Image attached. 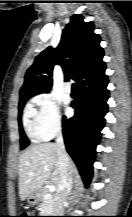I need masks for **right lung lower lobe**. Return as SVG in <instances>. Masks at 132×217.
Here are the masks:
<instances>
[{"mask_svg": "<svg viewBox=\"0 0 132 217\" xmlns=\"http://www.w3.org/2000/svg\"><path fill=\"white\" fill-rule=\"evenodd\" d=\"M107 76L85 85L78 86L79 93L71 107L73 118L63 117L62 127L66 150L75 161L86 186L89 185L96 146L99 144L104 127V116L108 111Z\"/></svg>", "mask_w": 132, "mask_h": 217, "instance_id": "right-lung-lower-lobe-1", "label": "right lung lower lobe"}]
</instances>
